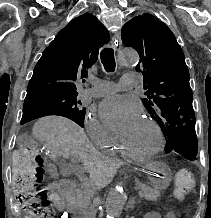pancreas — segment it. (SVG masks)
<instances>
[{
	"label": "pancreas",
	"mask_w": 211,
	"mask_h": 218,
	"mask_svg": "<svg viewBox=\"0 0 211 218\" xmlns=\"http://www.w3.org/2000/svg\"><path fill=\"white\" fill-rule=\"evenodd\" d=\"M136 190H139L141 198H145V200H153V202H155V200L160 196L157 190H152L150 186H144V184H137ZM93 192V188H86L85 190H69L70 200L68 201V204L79 205L85 214L86 208L90 206V197L94 196Z\"/></svg>",
	"instance_id": "1"
}]
</instances>
